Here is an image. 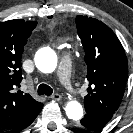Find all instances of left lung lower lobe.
<instances>
[{"instance_id":"0a47b994","label":"left lung lower lobe","mask_w":133,"mask_h":133,"mask_svg":"<svg viewBox=\"0 0 133 133\" xmlns=\"http://www.w3.org/2000/svg\"><path fill=\"white\" fill-rule=\"evenodd\" d=\"M85 111L86 114L79 124V127L84 130H100L113 117V114L98 112L90 108H85Z\"/></svg>"}]
</instances>
